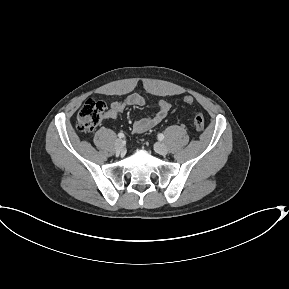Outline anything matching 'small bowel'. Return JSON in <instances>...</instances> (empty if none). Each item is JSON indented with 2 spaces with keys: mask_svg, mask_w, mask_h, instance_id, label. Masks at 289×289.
Instances as JSON below:
<instances>
[{
  "mask_svg": "<svg viewBox=\"0 0 289 289\" xmlns=\"http://www.w3.org/2000/svg\"><path fill=\"white\" fill-rule=\"evenodd\" d=\"M146 100L139 94H131L123 101H114L110 103L105 117L107 119H116L117 116L128 106H144ZM170 103L165 100H160L157 104V111L150 117L134 121L132 131L136 134L146 132L157 126L166 117L170 110Z\"/></svg>",
  "mask_w": 289,
  "mask_h": 289,
  "instance_id": "1",
  "label": "small bowel"
}]
</instances>
